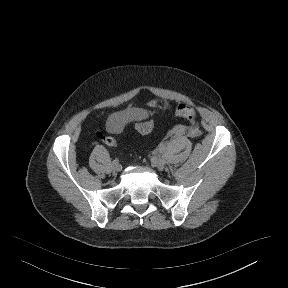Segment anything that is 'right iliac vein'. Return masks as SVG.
Returning a JSON list of instances; mask_svg holds the SVG:
<instances>
[{
  "label": "right iliac vein",
  "mask_w": 288,
  "mask_h": 288,
  "mask_svg": "<svg viewBox=\"0 0 288 288\" xmlns=\"http://www.w3.org/2000/svg\"><path fill=\"white\" fill-rule=\"evenodd\" d=\"M112 169L116 172L121 170V165L118 162H113L112 163Z\"/></svg>",
  "instance_id": "right-iliac-vein-1"
}]
</instances>
